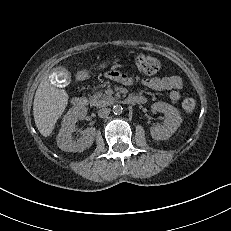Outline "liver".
<instances>
[{"label": "liver", "instance_id": "obj_1", "mask_svg": "<svg viewBox=\"0 0 231 231\" xmlns=\"http://www.w3.org/2000/svg\"><path fill=\"white\" fill-rule=\"evenodd\" d=\"M68 103V94L54 87L45 77L39 84L33 102L35 124L44 137H48Z\"/></svg>", "mask_w": 231, "mask_h": 231}]
</instances>
